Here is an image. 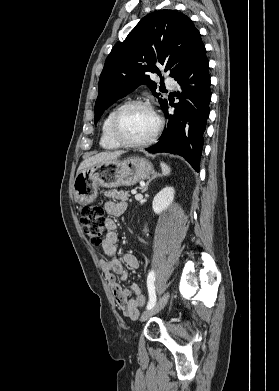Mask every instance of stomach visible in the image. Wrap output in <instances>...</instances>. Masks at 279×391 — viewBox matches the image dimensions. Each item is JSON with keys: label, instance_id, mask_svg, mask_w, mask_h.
Here are the masks:
<instances>
[{"label": "stomach", "instance_id": "stomach-1", "mask_svg": "<svg viewBox=\"0 0 279 391\" xmlns=\"http://www.w3.org/2000/svg\"><path fill=\"white\" fill-rule=\"evenodd\" d=\"M154 173L151 163L145 158L131 157L126 160H112L97 163L81 171L74 181L75 200L81 205L92 203L98 188L128 186L145 180Z\"/></svg>", "mask_w": 279, "mask_h": 391}]
</instances>
